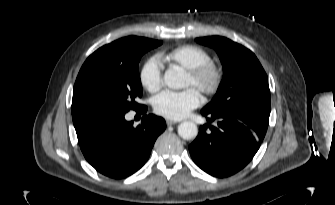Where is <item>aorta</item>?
<instances>
[{"instance_id":"aorta-1","label":"aorta","mask_w":335,"mask_h":205,"mask_svg":"<svg viewBox=\"0 0 335 205\" xmlns=\"http://www.w3.org/2000/svg\"><path fill=\"white\" fill-rule=\"evenodd\" d=\"M164 83L171 89L183 88L184 77L177 67H170L164 74ZM178 134L185 140L195 139L198 135L197 125L190 121H185L179 124Z\"/></svg>"}]
</instances>
